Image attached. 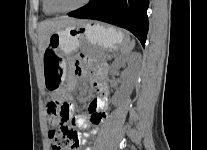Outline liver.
<instances>
[{"mask_svg": "<svg viewBox=\"0 0 207 150\" xmlns=\"http://www.w3.org/2000/svg\"><path fill=\"white\" fill-rule=\"evenodd\" d=\"M86 22L85 20L70 18L67 16H62L54 19L45 20L40 23L38 27L39 34V50L43 52L47 45L49 36L58 30L66 28L68 26L80 24Z\"/></svg>", "mask_w": 207, "mask_h": 150, "instance_id": "liver-1", "label": "liver"}]
</instances>
